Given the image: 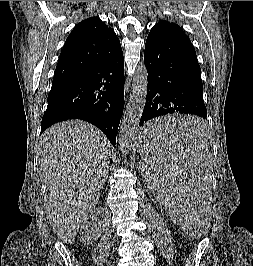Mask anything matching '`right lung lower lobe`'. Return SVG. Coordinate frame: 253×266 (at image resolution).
<instances>
[{"label":"right lung lower lobe","instance_id":"1","mask_svg":"<svg viewBox=\"0 0 253 266\" xmlns=\"http://www.w3.org/2000/svg\"><path fill=\"white\" fill-rule=\"evenodd\" d=\"M123 101L122 53L106 64L53 85L42 118L41 133L56 122L81 119L96 125L115 147Z\"/></svg>","mask_w":253,"mask_h":266}]
</instances>
